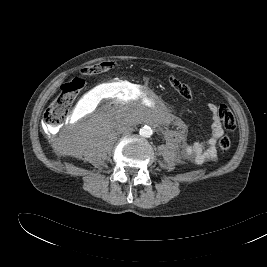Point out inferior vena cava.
I'll list each match as a JSON object with an SVG mask.
<instances>
[{
	"mask_svg": "<svg viewBox=\"0 0 267 267\" xmlns=\"http://www.w3.org/2000/svg\"><path fill=\"white\" fill-rule=\"evenodd\" d=\"M119 131L121 133H129V132L132 131V128H130V127H122V128L119 129Z\"/></svg>",
	"mask_w": 267,
	"mask_h": 267,
	"instance_id": "602c4592",
	"label": "inferior vena cava"
}]
</instances>
